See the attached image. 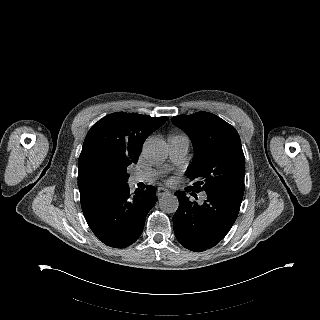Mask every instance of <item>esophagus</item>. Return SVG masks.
Masks as SVG:
<instances>
[{"label":"esophagus","instance_id":"1","mask_svg":"<svg viewBox=\"0 0 320 320\" xmlns=\"http://www.w3.org/2000/svg\"><path fill=\"white\" fill-rule=\"evenodd\" d=\"M168 193H169V190L164 187H158L157 192H156L158 197H161L162 195H165Z\"/></svg>","mask_w":320,"mask_h":320}]
</instances>
